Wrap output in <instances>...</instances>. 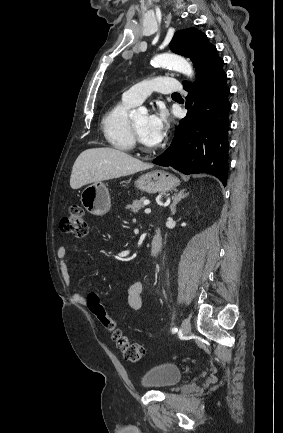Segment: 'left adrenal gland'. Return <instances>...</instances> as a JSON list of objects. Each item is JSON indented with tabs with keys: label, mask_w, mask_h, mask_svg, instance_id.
I'll return each mask as SVG.
<instances>
[{
	"label": "left adrenal gland",
	"mask_w": 283,
	"mask_h": 433,
	"mask_svg": "<svg viewBox=\"0 0 283 433\" xmlns=\"http://www.w3.org/2000/svg\"><path fill=\"white\" fill-rule=\"evenodd\" d=\"M184 190H186V188H182V190H179V192H178V190H176V192H174L173 202L170 206L171 214H175L177 202H179V200H181V198H185V196H187V194H189V192H184Z\"/></svg>",
	"instance_id": "1"
}]
</instances>
